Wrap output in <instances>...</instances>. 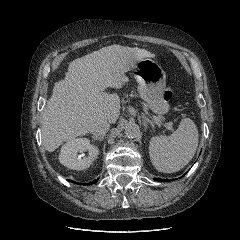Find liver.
Returning a JSON list of instances; mask_svg holds the SVG:
<instances>
[{"label": "liver", "mask_w": 240, "mask_h": 240, "mask_svg": "<svg viewBox=\"0 0 240 240\" xmlns=\"http://www.w3.org/2000/svg\"><path fill=\"white\" fill-rule=\"evenodd\" d=\"M153 54L137 47L110 45L73 60L64 80L57 82L42 115V141L55 151L64 141L84 136L100 121L115 123L120 98L106 88H122L126 72Z\"/></svg>", "instance_id": "1"}]
</instances>
